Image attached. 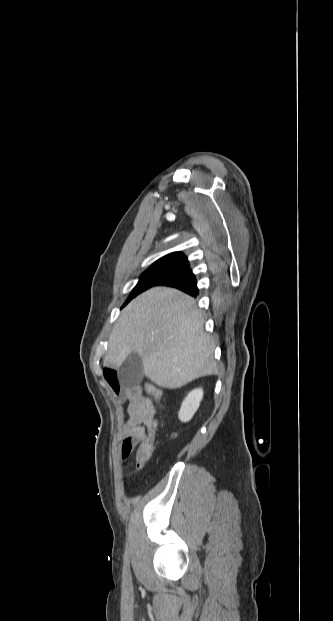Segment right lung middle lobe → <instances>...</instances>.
Listing matches in <instances>:
<instances>
[{
  "label": "right lung middle lobe",
  "instance_id": "obj_1",
  "mask_svg": "<svg viewBox=\"0 0 333 621\" xmlns=\"http://www.w3.org/2000/svg\"><path fill=\"white\" fill-rule=\"evenodd\" d=\"M187 262L186 259H160L154 262L140 277L138 284L132 290V293L128 297L124 305H126L132 298L145 291L146 289L156 285L158 281L175 272L181 266Z\"/></svg>",
  "mask_w": 333,
  "mask_h": 621
}]
</instances>
